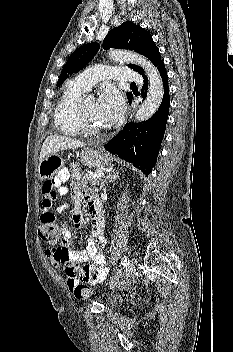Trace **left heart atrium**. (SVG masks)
Returning a JSON list of instances; mask_svg holds the SVG:
<instances>
[{"instance_id": "39dd6f15", "label": "left heart atrium", "mask_w": 233, "mask_h": 352, "mask_svg": "<svg viewBox=\"0 0 233 352\" xmlns=\"http://www.w3.org/2000/svg\"><path fill=\"white\" fill-rule=\"evenodd\" d=\"M96 109L103 126H111L123 113V98L117 90L112 87H107L102 91L97 100Z\"/></svg>"}]
</instances>
